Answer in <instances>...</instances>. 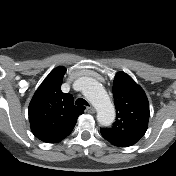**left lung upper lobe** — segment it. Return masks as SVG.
<instances>
[{
  "label": "left lung upper lobe",
  "instance_id": "5c2ea615",
  "mask_svg": "<svg viewBox=\"0 0 176 176\" xmlns=\"http://www.w3.org/2000/svg\"><path fill=\"white\" fill-rule=\"evenodd\" d=\"M113 96L117 112L116 122L112 128H101V133L131 146L147 130L150 115L148 99L141 87L122 72L115 76Z\"/></svg>",
  "mask_w": 176,
  "mask_h": 176
}]
</instances>
